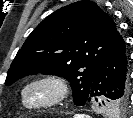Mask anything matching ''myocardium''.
<instances>
[{
    "instance_id": "f54148a6",
    "label": "myocardium",
    "mask_w": 133,
    "mask_h": 118,
    "mask_svg": "<svg viewBox=\"0 0 133 118\" xmlns=\"http://www.w3.org/2000/svg\"><path fill=\"white\" fill-rule=\"evenodd\" d=\"M33 86H44L50 91V96L38 103L29 104L26 92ZM70 94L67 80L56 73H41L28 78L22 85L19 97L24 108L31 111L46 110L62 104Z\"/></svg>"
}]
</instances>
